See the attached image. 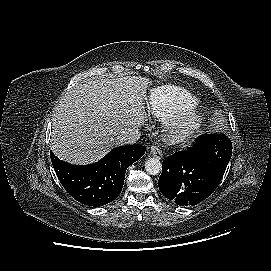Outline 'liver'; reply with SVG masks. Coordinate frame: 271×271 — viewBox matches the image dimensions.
<instances>
[{
	"label": "liver",
	"instance_id": "obj_1",
	"mask_svg": "<svg viewBox=\"0 0 271 271\" xmlns=\"http://www.w3.org/2000/svg\"><path fill=\"white\" fill-rule=\"evenodd\" d=\"M149 78H89L75 85L54 109L50 147L61 160L98 161L123 131L143 125Z\"/></svg>",
	"mask_w": 271,
	"mask_h": 271
}]
</instances>
